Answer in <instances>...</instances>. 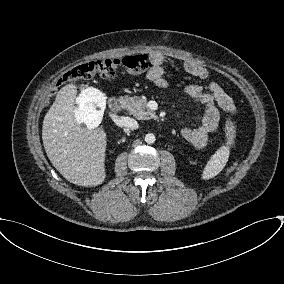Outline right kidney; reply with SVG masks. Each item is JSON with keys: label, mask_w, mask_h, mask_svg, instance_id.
I'll return each mask as SVG.
<instances>
[{"label": "right kidney", "mask_w": 284, "mask_h": 284, "mask_svg": "<svg viewBox=\"0 0 284 284\" xmlns=\"http://www.w3.org/2000/svg\"><path fill=\"white\" fill-rule=\"evenodd\" d=\"M76 103L75 120L77 123L86 125L89 130L97 128L102 120V113L97 108L102 109L106 105L102 92L96 88H86L81 91Z\"/></svg>", "instance_id": "right-kidney-1"}]
</instances>
